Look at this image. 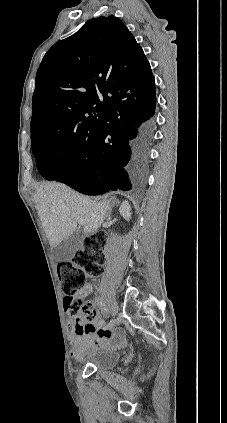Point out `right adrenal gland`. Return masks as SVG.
<instances>
[{
  "instance_id": "right-adrenal-gland-1",
  "label": "right adrenal gland",
  "mask_w": 227,
  "mask_h": 423,
  "mask_svg": "<svg viewBox=\"0 0 227 423\" xmlns=\"http://www.w3.org/2000/svg\"><path fill=\"white\" fill-rule=\"evenodd\" d=\"M113 204H120V202H118V200H116V202H113Z\"/></svg>"
}]
</instances>
